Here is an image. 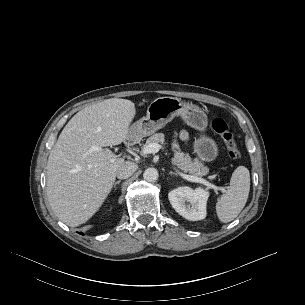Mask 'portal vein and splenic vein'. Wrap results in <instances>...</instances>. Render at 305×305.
Wrapping results in <instances>:
<instances>
[{
    "mask_svg": "<svg viewBox=\"0 0 305 305\" xmlns=\"http://www.w3.org/2000/svg\"><path fill=\"white\" fill-rule=\"evenodd\" d=\"M161 146L158 144V143H151L147 146H145L143 149H142V153L143 154H151V153H157L159 150H160ZM91 150L92 151H101L102 148L99 147V146H96V145H93L91 147ZM176 169V168H175ZM179 175L187 180V181H190V182H195V183H201L205 186H207L209 189H215V190H220L221 192H225L226 188L225 187H218V186H215L211 183H209L207 180L203 179V178H199V177H195V176H192V175H187V174H184L182 172H178Z\"/></svg>",
    "mask_w": 305,
    "mask_h": 305,
    "instance_id": "18ae733b",
    "label": "portal vein and splenic vein"
}]
</instances>
